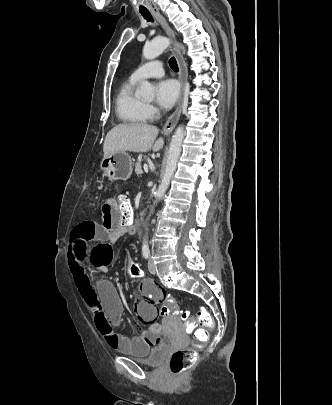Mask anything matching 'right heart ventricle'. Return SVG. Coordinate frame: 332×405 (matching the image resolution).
Returning <instances> with one entry per match:
<instances>
[{
	"mask_svg": "<svg viewBox=\"0 0 332 405\" xmlns=\"http://www.w3.org/2000/svg\"><path fill=\"white\" fill-rule=\"evenodd\" d=\"M138 80L130 78L119 89L115 99L118 119L125 124H140L149 119L147 105L135 94Z\"/></svg>",
	"mask_w": 332,
	"mask_h": 405,
	"instance_id": "right-heart-ventricle-1",
	"label": "right heart ventricle"
}]
</instances>
